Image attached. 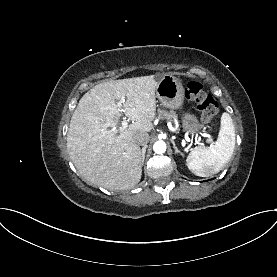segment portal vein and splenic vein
I'll use <instances>...</instances> for the list:
<instances>
[{"instance_id": "1", "label": "portal vein and splenic vein", "mask_w": 277, "mask_h": 277, "mask_svg": "<svg viewBox=\"0 0 277 277\" xmlns=\"http://www.w3.org/2000/svg\"><path fill=\"white\" fill-rule=\"evenodd\" d=\"M124 102H125V97L123 96V97L121 98V100L117 103V106L121 108V107H122V103H124ZM127 127H128V122H127V120H123V121H122V125L119 127L118 130H119L120 132H122V131H124ZM118 130H117L116 128H113L111 131L117 132ZM202 136L207 138V142H212V140H213V137H212L211 135H209V134L203 133Z\"/></svg>"}]
</instances>
